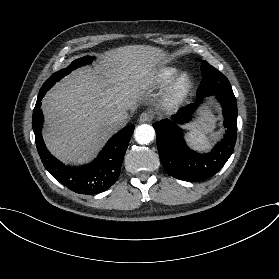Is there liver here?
<instances>
[{
	"label": "liver",
	"instance_id": "6515ba94",
	"mask_svg": "<svg viewBox=\"0 0 279 279\" xmlns=\"http://www.w3.org/2000/svg\"><path fill=\"white\" fill-rule=\"evenodd\" d=\"M165 53L149 46L111 51L95 69L74 72L43 100L46 144L65 162H84L118 128L112 114L132 108L148 88L151 66Z\"/></svg>",
	"mask_w": 279,
	"mask_h": 279
}]
</instances>
